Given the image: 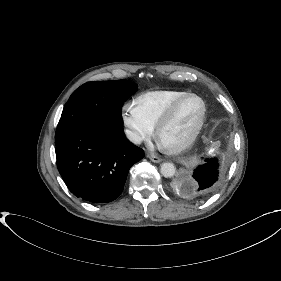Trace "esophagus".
<instances>
[{
  "instance_id": "34e87169",
  "label": "esophagus",
  "mask_w": 281,
  "mask_h": 281,
  "mask_svg": "<svg viewBox=\"0 0 281 281\" xmlns=\"http://www.w3.org/2000/svg\"><path fill=\"white\" fill-rule=\"evenodd\" d=\"M148 157L154 162V163H160L162 159L154 154H148Z\"/></svg>"
}]
</instances>
